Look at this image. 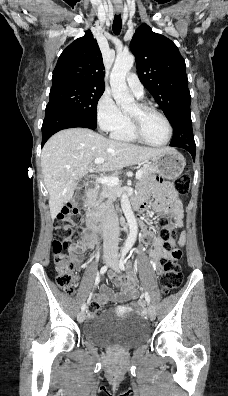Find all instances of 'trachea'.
<instances>
[{
	"label": "trachea",
	"instance_id": "3493384b",
	"mask_svg": "<svg viewBox=\"0 0 228 396\" xmlns=\"http://www.w3.org/2000/svg\"><path fill=\"white\" fill-rule=\"evenodd\" d=\"M121 27H122L121 15H115L114 21H113V32L115 35L120 34Z\"/></svg>",
	"mask_w": 228,
	"mask_h": 396
}]
</instances>
